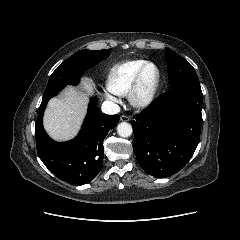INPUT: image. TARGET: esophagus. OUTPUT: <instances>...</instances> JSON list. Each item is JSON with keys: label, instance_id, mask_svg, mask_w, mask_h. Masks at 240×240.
I'll list each match as a JSON object with an SVG mask.
<instances>
[{"label": "esophagus", "instance_id": "34e87169", "mask_svg": "<svg viewBox=\"0 0 240 240\" xmlns=\"http://www.w3.org/2000/svg\"><path fill=\"white\" fill-rule=\"evenodd\" d=\"M120 120H121V121H124V122H128V121H130V117H129L128 115H122V116L120 117Z\"/></svg>", "mask_w": 240, "mask_h": 240}]
</instances>
